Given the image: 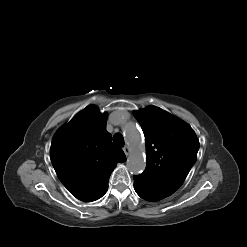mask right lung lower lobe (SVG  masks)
<instances>
[{
    "label": "right lung lower lobe",
    "mask_w": 247,
    "mask_h": 247,
    "mask_svg": "<svg viewBox=\"0 0 247 247\" xmlns=\"http://www.w3.org/2000/svg\"><path fill=\"white\" fill-rule=\"evenodd\" d=\"M106 191H107V190H106ZM106 191L102 194V196L106 193ZM102 196H101V197H102Z\"/></svg>",
    "instance_id": "right-lung-lower-lobe-1"
}]
</instances>
